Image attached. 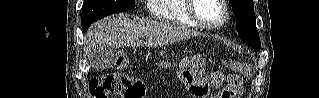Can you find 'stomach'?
<instances>
[{"label":"stomach","mask_w":319,"mask_h":98,"mask_svg":"<svg viewBox=\"0 0 319 98\" xmlns=\"http://www.w3.org/2000/svg\"><path fill=\"white\" fill-rule=\"evenodd\" d=\"M205 73V64L202 59L197 58L179 72L180 80L185 84L193 98H204L205 89L202 77Z\"/></svg>","instance_id":"obj_1"}]
</instances>
